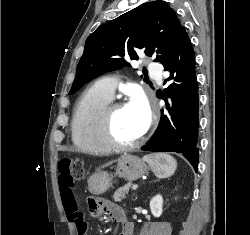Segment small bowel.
I'll list each match as a JSON object with an SVG mask.
<instances>
[{
	"label": "small bowel",
	"instance_id": "c3829d8e",
	"mask_svg": "<svg viewBox=\"0 0 250 235\" xmlns=\"http://www.w3.org/2000/svg\"><path fill=\"white\" fill-rule=\"evenodd\" d=\"M61 201L64 208V212L70 222H72L79 235H85L87 231V223L83 220L81 214L77 211L76 202L71 188H62L60 186ZM88 209L94 215L104 214L111 218L114 222L121 224L120 235H132L133 225L126 220L122 209L111 202L105 201H89Z\"/></svg>",
	"mask_w": 250,
	"mask_h": 235
}]
</instances>
